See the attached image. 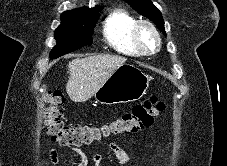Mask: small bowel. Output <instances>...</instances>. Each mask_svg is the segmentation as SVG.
<instances>
[{
    "instance_id": "obj_1",
    "label": "small bowel",
    "mask_w": 227,
    "mask_h": 166,
    "mask_svg": "<svg viewBox=\"0 0 227 166\" xmlns=\"http://www.w3.org/2000/svg\"><path fill=\"white\" fill-rule=\"evenodd\" d=\"M109 147L113 151L114 156L119 163H121V164L128 163L129 156L124 149H122L116 143H110ZM74 152L76 153V155L79 158L77 166H88L89 161H88V158L85 155V153L78 148H75ZM50 160L53 164H58V155H57V152L54 149H52L50 151ZM92 160L95 163V166H98L99 162L102 160V157H101L100 154L96 153V154L93 155ZM59 166H61V165H59Z\"/></svg>"
}]
</instances>
